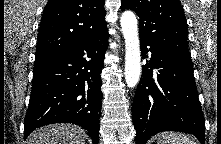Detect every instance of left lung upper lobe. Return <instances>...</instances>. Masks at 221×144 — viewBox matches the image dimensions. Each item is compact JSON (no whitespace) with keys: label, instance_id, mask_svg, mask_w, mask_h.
I'll return each instance as SVG.
<instances>
[{"label":"left lung upper lobe","instance_id":"1","mask_svg":"<svg viewBox=\"0 0 221 144\" xmlns=\"http://www.w3.org/2000/svg\"><path fill=\"white\" fill-rule=\"evenodd\" d=\"M139 16L140 40L157 48L189 56L187 21L179 0H122L121 10Z\"/></svg>","mask_w":221,"mask_h":144}]
</instances>
